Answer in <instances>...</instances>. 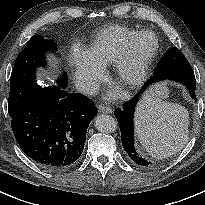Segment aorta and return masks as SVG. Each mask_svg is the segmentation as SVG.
<instances>
[{"instance_id":"762f6f07","label":"aorta","mask_w":205,"mask_h":205,"mask_svg":"<svg viewBox=\"0 0 205 205\" xmlns=\"http://www.w3.org/2000/svg\"><path fill=\"white\" fill-rule=\"evenodd\" d=\"M95 127L102 133H111L116 130L117 121L110 115H99L95 119Z\"/></svg>"}]
</instances>
